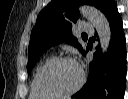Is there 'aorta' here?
<instances>
[{"instance_id":"obj_1","label":"aorta","mask_w":128,"mask_h":99,"mask_svg":"<svg viewBox=\"0 0 128 99\" xmlns=\"http://www.w3.org/2000/svg\"><path fill=\"white\" fill-rule=\"evenodd\" d=\"M80 12L94 25L99 36L101 50L105 53L111 40V28L107 18L101 11L92 6H81Z\"/></svg>"}]
</instances>
